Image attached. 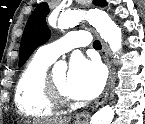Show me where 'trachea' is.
Returning <instances> with one entry per match:
<instances>
[{
    "label": "trachea",
    "mask_w": 145,
    "mask_h": 124,
    "mask_svg": "<svg viewBox=\"0 0 145 124\" xmlns=\"http://www.w3.org/2000/svg\"><path fill=\"white\" fill-rule=\"evenodd\" d=\"M93 47L95 49H101V43L99 40H95L94 43H93Z\"/></svg>",
    "instance_id": "trachea-1"
}]
</instances>
